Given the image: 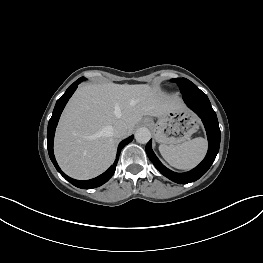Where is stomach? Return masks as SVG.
<instances>
[{
  "label": "stomach",
  "mask_w": 263,
  "mask_h": 263,
  "mask_svg": "<svg viewBox=\"0 0 263 263\" xmlns=\"http://www.w3.org/2000/svg\"><path fill=\"white\" fill-rule=\"evenodd\" d=\"M145 121L153 129L156 141L167 146L189 140L199 128L197 117L185 108L159 117L156 123L151 118Z\"/></svg>",
  "instance_id": "0dacf381"
}]
</instances>
